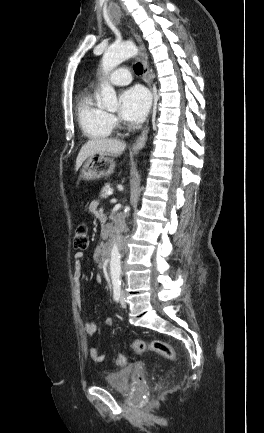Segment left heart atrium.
<instances>
[{
  "label": "left heart atrium",
  "mask_w": 264,
  "mask_h": 433,
  "mask_svg": "<svg viewBox=\"0 0 264 433\" xmlns=\"http://www.w3.org/2000/svg\"><path fill=\"white\" fill-rule=\"evenodd\" d=\"M149 106L150 97L148 92L140 86H134L121 93L119 116L127 123H139L145 118Z\"/></svg>",
  "instance_id": "obj_1"
}]
</instances>
